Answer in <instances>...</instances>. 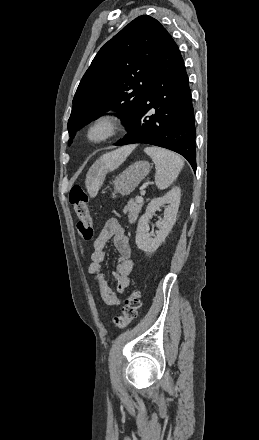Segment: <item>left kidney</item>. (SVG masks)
Masks as SVG:
<instances>
[{"label": "left kidney", "mask_w": 259, "mask_h": 440, "mask_svg": "<svg viewBox=\"0 0 259 440\" xmlns=\"http://www.w3.org/2000/svg\"><path fill=\"white\" fill-rule=\"evenodd\" d=\"M181 190L179 187L172 188L164 196L152 199L146 208V212L138 221L135 242L137 247L146 252H155L165 240L176 221L180 204ZM168 204L164 210V217L157 224L156 235L149 233V221L155 211L161 206Z\"/></svg>", "instance_id": "1"}]
</instances>
